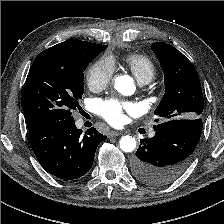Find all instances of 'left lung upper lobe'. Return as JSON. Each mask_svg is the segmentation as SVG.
<instances>
[{
  "instance_id": "left-lung-upper-lobe-1",
  "label": "left lung upper lobe",
  "mask_w": 224,
  "mask_h": 224,
  "mask_svg": "<svg viewBox=\"0 0 224 224\" xmlns=\"http://www.w3.org/2000/svg\"><path fill=\"white\" fill-rule=\"evenodd\" d=\"M151 49L160 61L165 79V94L155 114L163 121L201 118L204 100L195 67L169 44L153 43Z\"/></svg>"
}]
</instances>
